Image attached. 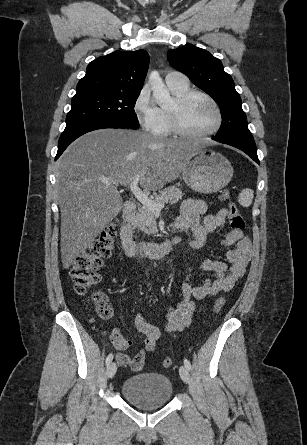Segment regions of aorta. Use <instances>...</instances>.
<instances>
[{"instance_id": "1", "label": "aorta", "mask_w": 307, "mask_h": 445, "mask_svg": "<svg viewBox=\"0 0 307 445\" xmlns=\"http://www.w3.org/2000/svg\"><path fill=\"white\" fill-rule=\"evenodd\" d=\"M149 84L153 90V96L159 106H166V104H173L169 90H167L158 70H152L149 74Z\"/></svg>"}]
</instances>
